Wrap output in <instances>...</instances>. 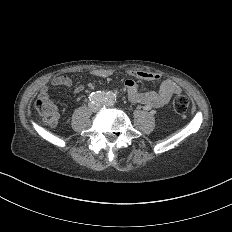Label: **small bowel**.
<instances>
[{"instance_id": "obj_1", "label": "small bowel", "mask_w": 232, "mask_h": 232, "mask_svg": "<svg viewBox=\"0 0 232 232\" xmlns=\"http://www.w3.org/2000/svg\"><path fill=\"white\" fill-rule=\"evenodd\" d=\"M111 74L109 69H96L93 71L92 77L85 80V83L94 86L99 85L102 81ZM123 74L128 76L124 84L128 89V99L132 103H146L152 107H161L167 104L172 95L178 94L181 91L180 85L173 79H165L162 81L160 91L142 92L138 89L135 79L140 80H157L159 75L151 69L125 70ZM73 81L69 78L60 77L52 80V87L45 86L42 88V93L48 94L52 88H70ZM80 87L74 90V98L77 99L81 94Z\"/></svg>"}]
</instances>
